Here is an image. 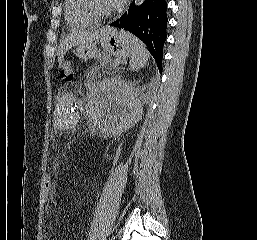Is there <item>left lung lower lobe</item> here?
I'll return each instance as SVG.
<instances>
[{
  "label": "left lung lower lobe",
  "instance_id": "1",
  "mask_svg": "<svg viewBox=\"0 0 257 240\" xmlns=\"http://www.w3.org/2000/svg\"><path fill=\"white\" fill-rule=\"evenodd\" d=\"M167 3L165 0H144L135 5L134 1L127 12L110 26L128 30L143 41L162 72L163 45L166 41Z\"/></svg>",
  "mask_w": 257,
  "mask_h": 240
}]
</instances>
